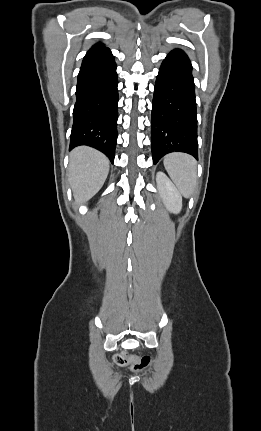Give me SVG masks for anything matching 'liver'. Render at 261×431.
<instances>
[{
	"instance_id": "6515ba94",
	"label": "liver",
	"mask_w": 261,
	"mask_h": 431,
	"mask_svg": "<svg viewBox=\"0 0 261 431\" xmlns=\"http://www.w3.org/2000/svg\"><path fill=\"white\" fill-rule=\"evenodd\" d=\"M109 172L107 157L87 146L70 153L69 180L77 203L94 196L103 186Z\"/></svg>"
}]
</instances>
